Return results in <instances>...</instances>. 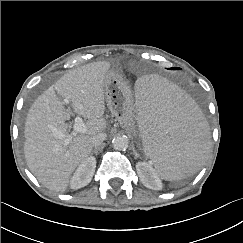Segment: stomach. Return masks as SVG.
<instances>
[{
    "label": "stomach",
    "mask_w": 243,
    "mask_h": 243,
    "mask_svg": "<svg viewBox=\"0 0 243 243\" xmlns=\"http://www.w3.org/2000/svg\"><path fill=\"white\" fill-rule=\"evenodd\" d=\"M105 96L111 114L122 126L132 129L135 120L133 94L115 69H110L106 74Z\"/></svg>",
    "instance_id": "obj_1"
}]
</instances>
